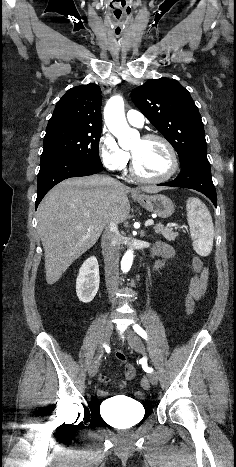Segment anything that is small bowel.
Instances as JSON below:
<instances>
[{"mask_svg": "<svg viewBox=\"0 0 236 467\" xmlns=\"http://www.w3.org/2000/svg\"><path fill=\"white\" fill-rule=\"evenodd\" d=\"M154 254L159 258V260L157 262V267H160L166 261L170 260L173 257L174 252H173V249L170 246H168V245H166L164 243H160V244H158L157 248L154 250ZM208 280H209V272H208L207 268L204 267L200 274H196L191 278L190 285H189V290H188V295L191 296L195 300L201 299L203 297L205 291H206ZM118 353H116V355H115L116 361L118 363H120V364L125 363V359L124 360H119L117 358ZM124 370H125V378L127 380H132L135 377L136 370H135L133 365L125 363ZM130 371L132 372L131 374H129ZM109 380H110V377L107 376V375H102L100 377V381L102 383H106ZM124 386H125V382H120L119 383L120 388H123ZM97 394H98L99 397H107L108 396V392L106 390H103V389L98 390Z\"/></svg>", "mask_w": 236, "mask_h": 467, "instance_id": "1", "label": "small bowel"}]
</instances>
